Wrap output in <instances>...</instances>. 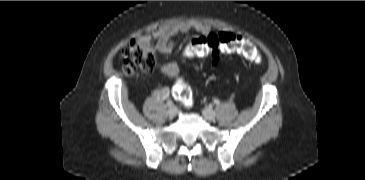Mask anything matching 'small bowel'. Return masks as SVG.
<instances>
[{
  "mask_svg": "<svg viewBox=\"0 0 365 180\" xmlns=\"http://www.w3.org/2000/svg\"><path fill=\"white\" fill-rule=\"evenodd\" d=\"M195 31L200 37H208L211 34L209 27L201 22H185L156 30L152 35L143 36L140 41L143 45L150 48L156 55H167L174 48V38L180 34ZM159 73L166 78H176L179 74V65L175 62L159 64ZM170 90L168 87H160L154 94L159 99L168 97Z\"/></svg>",
  "mask_w": 365,
  "mask_h": 180,
  "instance_id": "small-bowel-1",
  "label": "small bowel"
}]
</instances>
